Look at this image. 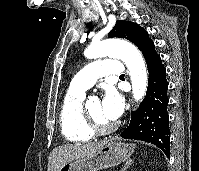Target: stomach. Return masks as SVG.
Listing matches in <instances>:
<instances>
[{
    "label": "stomach",
    "instance_id": "0dacf381",
    "mask_svg": "<svg viewBox=\"0 0 199 171\" xmlns=\"http://www.w3.org/2000/svg\"><path fill=\"white\" fill-rule=\"evenodd\" d=\"M134 148V144L112 139L95 153L64 163L59 171H99L114 167L127 160Z\"/></svg>",
    "mask_w": 199,
    "mask_h": 171
}]
</instances>
